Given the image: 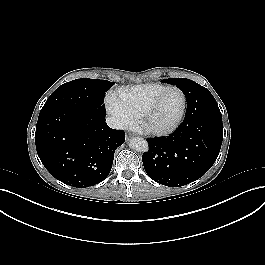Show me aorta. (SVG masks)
<instances>
[{"label": "aorta", "instance_id": "762f6f07", "mask_svg": "<svg viewBox=\"0 0 265 265\" xmlns=\"http://www.w3.org/2000/svg\"><path fill=\"white\" fill-rule=\"evenodd\" d=\"M129 147L137 152H147L149 150L148 142L141 137H134L129 140Z\"/></svg>", "mask_w": 265, "mask_h": 265}]
</instances>
